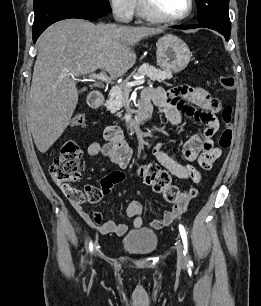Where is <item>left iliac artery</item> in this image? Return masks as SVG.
Segmentation results:
<instances>
[{
  "label": "left iliac artery",
  "instance_id": "obj_1",
  "mask_svg": "<svg viewBox=\"0 0 261 306\" xmlns=\"http://www.w3.org/2000/svg\"><path fill=\"white\" fill-rule=\"evenodd\" d=\"M179 231L182 238V242L184 245V254L186 255L188 253V241H187V233L185 231V228L182 224H179Z\"/></svg>",
  "mask_w": 261,
  "mask_h": 306
}]
</instances>
